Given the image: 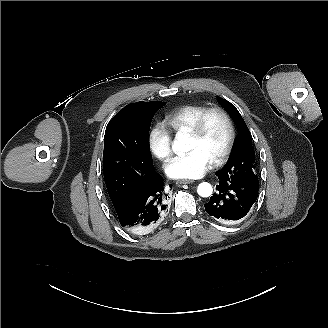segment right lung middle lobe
I'll return each instance as SVG.
<instances>
[{"label":"right lung middle lobe","instance_id":"right-lung-middle-lobe-1","mask_svg":"<svg viewBox=\"0 0 328 328\" xmlns=\"http://www.w3.org/2000/svg\"><path fill=\"white\" fill-rule=\"evenodd\" d=\"M166 103L137 102L120 110L108 123L104 136V180L115 207L145 191L156 175L149 147L154 113Z\"/></svg>","mask_w":328,"mask_h":328}]
</instances>
